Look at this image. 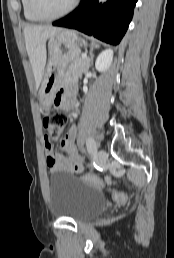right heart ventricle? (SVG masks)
Listing matches in <instances>:
<instances>
[{
  "instance_id": "right-heart-ventricle-1",
  "label": "right heart ventricle",
  "mask_w": 174,
  "mask_h": 258,
  "mask_svg": "<svg viewBox=\"0 0 174 258\" xmlns=\"http://www.w3.org/2000/svg\"><path fill=\"white\" fill-rule=\"evenodd\" d=\"M22 10L24 17L29 22H38L40 21L38 18H36L30 11L28 6V0H21Z\"/></svg>"
}]
</instances>
